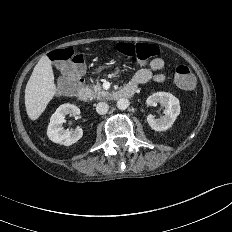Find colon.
Wrapping results in <instances>:
<instances>
[{
	"mask_svg": "<svg viewBox=\"0 0 232 232\" xmlns=\"http://www.w3.org/2000/svg\"><path fill=\"white\" fill-rule=\"evenodd\" d=\"M116 49L123 56L141 63L159 54V48L149 43H119ZM49 57L60 67L61 78L58 90L64 94L77 92L82 82L81 76L84 68L82 58L68 48L53 50L49 53ZM174 80L176 85L184 90H191L196 85V78L186 65H179L175 69Z\"/></svg>",
	"mask_w": 232,
	"mask_h": 232,
	"instance_id": "colon-1",
	"label": "colon"
}]
</instances>
